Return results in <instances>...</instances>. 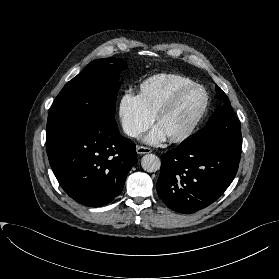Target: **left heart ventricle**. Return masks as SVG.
<instances>
[{"label":"left heart ventricle","instance_id":"b2bd125f","mask_svg":"<svg viewBox=\"0 0 279 279\" xmlns=\"http://www.w3.org/2000/svg\"><path fill=\"white\" fill-rule=\"evenodd\" d=\"M204 100L205 94L201 89L188 92L175 109L159 122L158 126L167 137L182 133L198 114Z\"/></svg>","mask_w":279,"mask_h":279}]
</instances>
